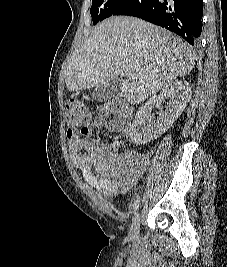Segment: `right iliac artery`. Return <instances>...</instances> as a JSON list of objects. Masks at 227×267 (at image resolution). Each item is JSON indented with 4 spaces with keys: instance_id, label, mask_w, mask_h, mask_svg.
<instances>
[{
    "instance_id": "obj_1",
    "label": "right iliac artery",
    "mask_w": 227,
    "mask_h": 267,
    "mask_svg": "<svg viewBox=\"0 0 227 267\" xmlns=\"http://www.w3.org/2000/svg\"><path fill=\"white\" fill-rule=\"evenodd\" d=\"M139 202H140V198H137V200L133 204V210H132L133 214H136V211H137V209L139 207Z\"/></svg>"
}]
</instances>
